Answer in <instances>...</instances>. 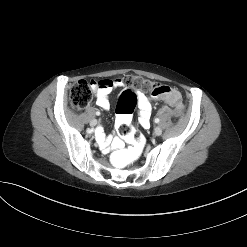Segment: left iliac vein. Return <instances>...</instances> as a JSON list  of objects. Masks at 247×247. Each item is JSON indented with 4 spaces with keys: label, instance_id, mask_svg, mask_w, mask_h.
Wrapping results in <instances>:
<instances>
[{
    "label": "left iliac vein",
    "instance_id": "left-iliac-vein-1",
    "mask_svg": "<svg viewBox=\"0 0 247 247\" xmlns=\"http://www.w3.org/2000/svg\"><path fill=\"white\" fill-rule=\"evenodd\" d=\"M154 134H155L156 136L161 135V134H162V129H161L160 127H156V128L154 129Z\"/></svg>",
    "mask_w": 247,
    "mask_h": 247
}]
</instances>
